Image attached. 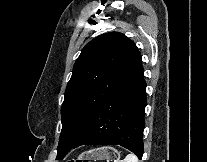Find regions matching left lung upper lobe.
<instances>
[{"label": "left lung upper lobe", "mask_w": 207, "mask_h": 162, "mask_svg": "<svg viewBox=\"0 0 207 162\" xmlns=\"http://www.w3.org/2000/svg\"><path fill=\"white\" fill-rule=\"evenodd\" d=\"M141 66L133 41L119 32L90 41L75 62L61 107L57 160L66 155L104 101Z\"/></svg>", "instance_id": "1"}]
</instances>
